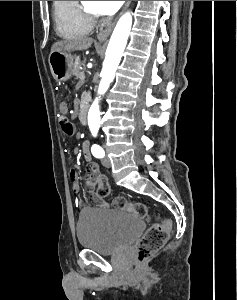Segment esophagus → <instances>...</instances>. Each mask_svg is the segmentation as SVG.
I'll return each mask as SVG.
<instances>
[{
	"label": "esophagus",
	"mask_w": 237,
	"mask_h": 300,
	"mask_svg": "<svg viewBox=\"0 0 237 300\" xmlns=\"http://www.w3.org/2000/svg\"><path fill=\"white\" fill-rule=\"evenodd\" d=\"M130 3H131V1H126L125 5H124V8H123V10H122V13L128 8V6L130 5ZM122 13H121V14H122ZM115 22H116V21H115ZM115 22L112 23V24H110L109 26H107L105 29H103V31H101V32L98 34L97 38H98L100 41L106 40V39L109 37L111 31H112L113 28H114Z\"/></svg>",
	"instance_id": "1"
}]
</instances>
